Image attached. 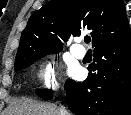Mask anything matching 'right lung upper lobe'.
Here are the masks:
<instances>
[{
	"mask_svg": "<svg viewBox=\"0 0 131 115\" xmlns=\"http://www.w3.org/2000/svg\"><path fill=\"white\" fill-rule=\"evenodd\" d=\"M91 30L94 49L131 36L123 0H52L23 30L16 59L31 51L59 52L61 40ZM15 59V60H16Z\"/></svg>",
	"mask_w": 131,
	"mask_h": 115,
	"instance_id": "obj_1",
	"label": "right lung upper lobe"
}]
</instances>
